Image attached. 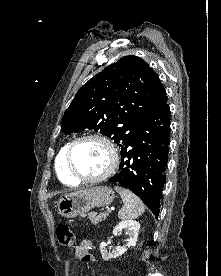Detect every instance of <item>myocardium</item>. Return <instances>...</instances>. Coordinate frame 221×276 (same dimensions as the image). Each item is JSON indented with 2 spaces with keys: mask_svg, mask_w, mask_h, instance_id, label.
Wrapping results in <instances>:
<instances>
[{
  "mask_svg": "<svg viewBox=\"0 0 221 276\" xmlns=\"http://www.w3.org/2000/svg\"><path fill=\"white\" fill-rule=\"evenodd\" d=\"M85 140H98V141L102 142L103 144H105V146L107 147L109 154H110V161H109L108 167L106 168V170L103 173H101L100 175L95 176V177H85V176L80 175L74 169L73 164H72V153H73L75 146L79 142L85 141ZM65 163H66V168L68 170V173L75 180H77L79 182L96 183V182L105 180L115 171L117 164H118V153H117V150H116L114 144L112 143V141L110 139H108L106 136L101 135V134H96V133L85 134V135L75 138L68 144V147H67V150L65 153Z\"/></svg>",
  "mask_w": 221,
  "mask_h": 276,
  "instance_id": "1",
  "label": "myocardium"
}]
</instances>
